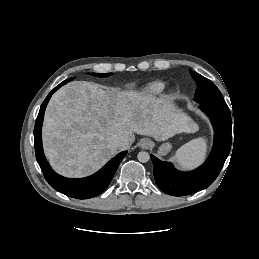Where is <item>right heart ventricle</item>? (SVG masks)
Masks as SVG:
<instances>
[{
	"mask_svg": "<svg viewBox=\"0 0 259 259\" xmlns=\"http://www.w3.org/2000/svg\"><path fill=\"white\" fill-rule=\"evenodd\" d=\"M165 90V83L161 81H153L147 84L141 91V99L144 101L152 100L160 96Z\"/></svg>",
	"mask_w": 259,
	"mask_h": 259,
	"instance_id": "1",
	"label": "right heart ventricle"
}]
</instances>
